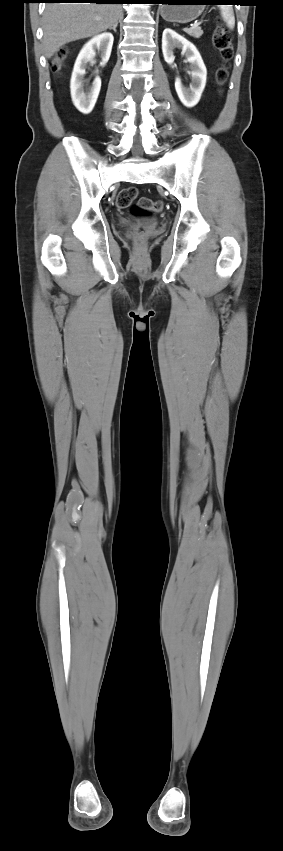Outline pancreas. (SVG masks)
<instances>
[{"mask_svg": "<svg viewBox=\"0 0 283 851\" xmlns=\"http://www.w3.org/2000/svg\"><path fill=\"white\" fill-rule=\"evenodd\" d=\"M185 32L194 38H199L203 34V30L200 27L185 29Z\"/></svg>", "mask_w": 283, "mask_h": 851, "instance_id": "cf45deb5", "label": "pancreas"}]
</instances>
